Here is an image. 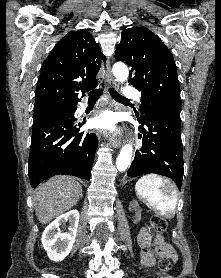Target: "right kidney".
<instances>
[{"label":"right kidney","instance_id":"obj_1","mask_svg":"<svg viewBox=\"0 0 221 278\" xmlns=\"http://www.w3.org/2000/svg\"><path fill=\"white\" fill-rule=\"evenodd\" d=\"M66 222H69V231L61 233L60 226H64ZM78 223V210H71L59 216L46 227L41 241L48 257L52 261H62L69 255L75 242Z\"/></svg>","mask_w":221,"mask_h":278}]
</instances>
